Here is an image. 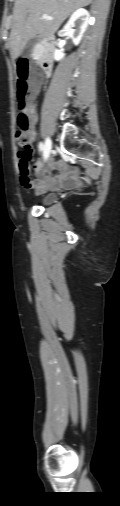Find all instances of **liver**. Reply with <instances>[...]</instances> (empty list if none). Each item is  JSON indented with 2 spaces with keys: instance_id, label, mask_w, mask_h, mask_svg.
<instances>
[{
  "instance_id": "6515ba94",
  "label": "liver",
  "mask_w": 120,
  "mask_h": 506,
  "mask_svg": "<svg viewBox=\"0 0 120 506\" xmlns=\"http://www.w3.org/2000/svg\"><path fill=\"white\" fill-rule=\"evenodd\" d=\"M92 0H15L9 45L13 59L19 57L26 43L35 37H51L75 10ZM42 15L52 20L42 19Z\"/></svg>"
}]
</instances>
